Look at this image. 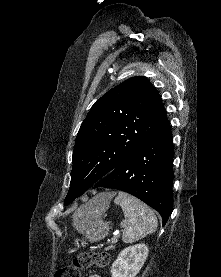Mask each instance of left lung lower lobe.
Instances as JSON below:
<instances>
[{"label": "left lung lower lobe", "mask_w": 221, "mask_h": 277, "mask_svg": "<svg viewBox=\"0 0 221 277\" xmlns=\"http://www.w3.org/2000/svg\"><path fill=\"white\" fill-rule=\"evenodd\" d=\"M173 156L172 134L167 119L92 188L117 189L141 199L160 213L164 225L173 207Z\"/></svg>", "instance_id": "left-lung-lower-lobe-1"}]
</instances>
